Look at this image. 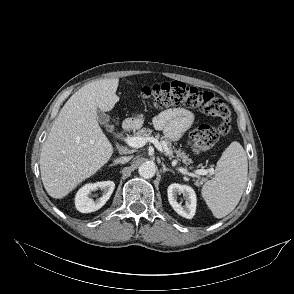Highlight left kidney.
<instances>
[{
  "mask_svg": "<svg viewBox=\"0 0 294 294\" xmlns=\"http://www.w3.org/2000/svg\"><path fill=\"white\" fill-rule=\"evenodd\" d=\"M183 194L185 205L177 202V194ZM168 201L172 208L182 217L192 219L196 212L197 198L195 191L187 185L173 183L167 189Z\"/></svg>",
  "mask_w": 294,
  "mask_h": 294,
  "instance_id": "left-kidney-1",
  "label": "left kidney"
}]
</instances>
